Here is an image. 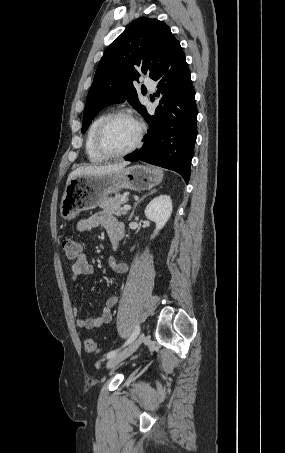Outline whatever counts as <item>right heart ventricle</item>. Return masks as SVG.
I'll return each mask as SVG.
<instances>
[{"label":"right heart ventricle","mask_w":285,"mask_h":453,"mask_svg":"<svg viewBox=\"0 0 285 453\" xmlns=\"http://www.w3.org/2000/svg\"><path fill=\"white\" fill-rule=\"evenodd\" d=\"M106 116L105 113H102L98 115L89 125V128L87 130L86 138H85V153L88 158V160L93 163V164H100L106 160L102 155L98 153V151L95 148V143H94V138H95V132L96 129L99 125V123L102 121V119Z\"/></svg>","instance_id":"1"}]
</instances>
